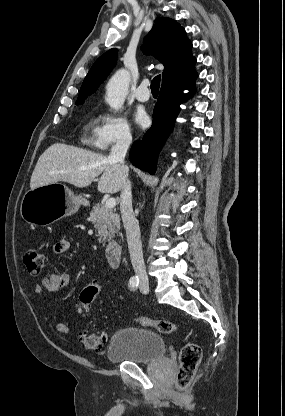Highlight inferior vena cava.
Here are the masks:
<instances>
[{"label": "inferior vena cava", "instance_id": "inferior-vena-cava-1", "mask_svg": "<svg viewBox=\"0 0 285 416\" xmlns=\"http://www.w3.org/2000/svg\"><path fill=\"white\" fill-rule=\"evenodd\" d=\"M131 142L132 136L129 134L128 130H124L122 134L117 136V142L115 146H112L111 152L108 156L110 164H119L122 168H127V166H124V158ZM120 198V212L127 234V242L132 266L136 274H139L141 278H144L147 274L142 254L139 222L136 220L132 210V192L129 180H125L124 182L121 188Z\"/></svg>", "mask_w": 285, "mask_h": 416}]
</instances>
